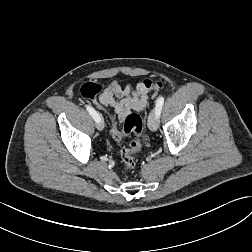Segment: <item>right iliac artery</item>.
<instances>
[{"label":"right iliac artery","instance_id":"1","mask_svg":"<svg viewBox=\"0 0 252 252\" xmlns=\"http://www.w3.org/2000/svg\"><path fill=\"white\" fill-rule=\"evenodd\" d=\"M86 109L89 112V114L92 116V118L98 122L101 120V117L99 116V114L95 111V109L93 107H91L90 105H86Z\"/></svg>","mask_w":252,"mask_h":252}]
</instances>
